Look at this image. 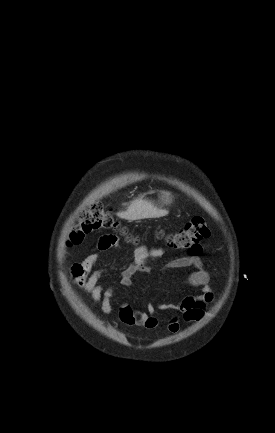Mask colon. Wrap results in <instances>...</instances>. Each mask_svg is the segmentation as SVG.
Instances as JSON below:
<instances>
[{
  "label": "colon",
  "instance_id": "5ec220e1",
  "mask_svg": "<svg viewBox=\"0 0 275 433\" xmlns=\"http://www.w3.org/2000/svg\"><path fill=\"white\" fill-rule=\"evenodd\" d=\"M99 230H115L127 235L126 230L121 227L110 207L93 204L80 214L78 222L71 228L69 244L78 245L86 235ZM210 234V228L202 217L192 218L177 231L161 232L170 247L186 250L188 255L194 254L199 243L207 239Z\"/></svg>",
  "mask_w": 275,
  "mask_h": 433
}]
</instances>
